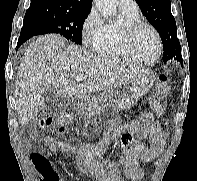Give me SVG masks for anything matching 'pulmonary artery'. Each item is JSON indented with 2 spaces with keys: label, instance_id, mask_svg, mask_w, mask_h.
<instances>
[{
  "label": "pulmonary artery",
  "instance_id": "obj_1",
  "mask_svg": "<svg viewBox=\"0 0 197 181\" xmlns=\"http://www.w3.org/2000/svg\"><path fill=\"white\" fill-rule=\"evenodd\" d=\"M120 9L132 10L137 9V3L134 0H118Z\"/></svg>",
  "mask_w": 197,
  "mask_h": 181
}]
</instances>
